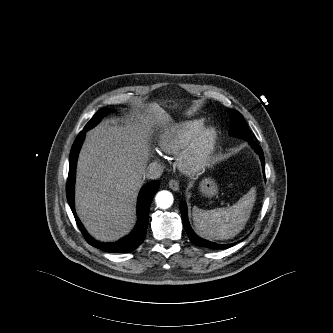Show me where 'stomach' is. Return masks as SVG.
<instances>
[{"label":"stomach","instance_id":"obj_1","mask_svg":"<svg viewBox=\"0 0 333 333\" xmlns=\"http://www.w3.org/2000/svg\"><path fill=\"white\" fill-rule=\"evenodd\" d=\"M164 105L169 108H177L178 106L176 102L171 100L164 102ZM199 191L205 197H212L218 191L217 184L214 180L206 178L200 183Z\"/></svg>","mask_w":333,"mask_h":333}]
</instances>
